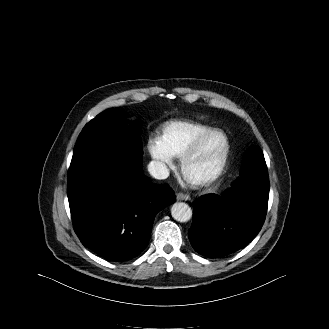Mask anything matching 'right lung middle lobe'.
<instances>
[{"mask_svg": "<svg viewBox=\"0 0 329 329\" xmlns=\"http://www.w3.org/2000/svg\"><path fill=\"white\" fill-rule=\"evenodd\" d=\"M140 126L128 124L116 111H105L92 119L81 131L74 147L68 172L101 157H110L133 166H141Z\"/></svg>", "mask_w": 329, "mask_h": 329, "instance_id": "right-lung-middle-lobe-1", "label": "right lung middle lobe"}]
</instances>
